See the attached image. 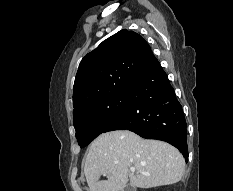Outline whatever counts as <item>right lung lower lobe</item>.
I'll return each instance as SVG.
<instances>
[{
  "instance_id": "1",
  "label": "right lung lower lobe",
  "mask_w": 233,
  "mask_h": 191,
  "mask_svg": "<svg viewBox=\"0 0 233 191\" xmlns=\"http://www.w3.org/2000/svg\"><path fill=\"white\" fill-rule=\"evenodd\" d=\"M126 110L103 130H130L143 138L163 140L179 149L188 161L184 113L174 88L153 55L128 91Z\"/></svg>"
}]
</instances>
